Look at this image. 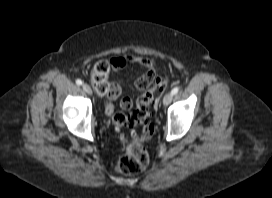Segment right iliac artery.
I'll use <instances>...</instances> for the list:
<instances>
[{
  "mask_svg": "<svg viewBox=\"0 0 272 198\" xmlns=\"http://www.w3.org/2000/svg\"><path fill=\"white\" fill-rule=\"evenodd\" d=\"M76 84H77V85H82V81H81L80 79H77V80H76Z\"/></svg>",
  "mask_w": 272,
  "mask_h": 198,
  "instance_id": "82829eb1",
  "label": "right iliac artery"
}]
</instances>
